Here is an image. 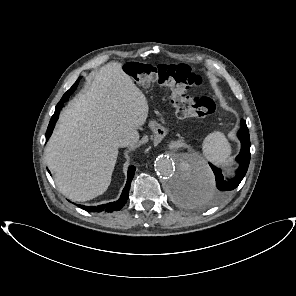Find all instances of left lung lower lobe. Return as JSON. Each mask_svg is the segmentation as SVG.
I'll return each instance as SVG.
<instances>
[{
    "label": "left lung lower lobe",
    "mask_w": 296,
    "mask_h": 296,
    "mask_svg": "<svg viewBox=\"0 0 296 296\" xmlns=\"http://www.w3.org/2000/svg\"><path fill=\"white\" fill-rule=\"evenodd\" d=\"M238 137L241 141V151L239 155L236 157L237 162L240 164L239 168L236 171V175L234 178L231 179H224L221 173V170L210 164L216 179V187L214 195L216 197H221L228 193L229 191L238 187L242 179L244 178L249 162H250V137L249 131L246 125L245 120H241V128L238 131ZM183 186L184 188L188 189L187 181L185 178L181 179V184L178 186L177 189H181L180 187ZM176 189V190H177ZM182 190V189H181ZM213 192L206 194V193H197L188 191L186 192L185 200L190 203H198L207 198L208 195H211Z\"/></svg>",
    "instance_id": "left-lung-lower-lobe-1"
}]
</instances>
